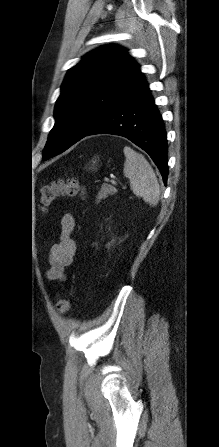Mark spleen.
I'll return each mask as SVG.
<instances>
[{
	"instance_id": "obj_1",
	"label": "spleen",
	"mask_w": 219,
	"mask_h": 447,
	"mask_svg": "<svg viewBox=\"0 0 219 447\" xmlns=\"http://www.w3.org/2000/svg\"><path fill=\"white\" fill-rule=\"evenodd\" d=\"M123 152L126 157L123 172L130 180L133 193L142 197L150 205L156 206L160 190L152 167L142 154L135 152L130 147H125Z\"/></svg>"
}]
</instances>
